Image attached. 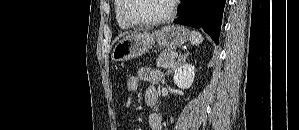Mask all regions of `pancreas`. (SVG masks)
I'll use <instances>...</instances> for the list:
<instances>
[{
    "mask_svg": "<svg viewBox=\"0 0 299 130\" xmlns=\"http://www.w3.org/2000/svg\"><path fill=\"white\" fill-rule=\"evenodd\" d=\"M173 51L170 49L163 50L160 52L157 58V66L167 68L168 70H173L177 65V62L172 58Z\"/></svg>",
    "mask_w": 299,
    "mask_h": 130,
    "instance_id": "cf45deb5",
    "label": "pancreas"
}]
</instances>
